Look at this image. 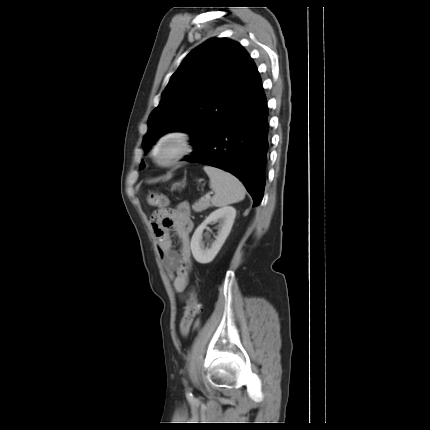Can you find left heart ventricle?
Masks as SVG:
<instances>
[{"instance_id":"left-heart-ventricle-1","label":"left heart ventricle","mask_w":430,"mask_h":430,"mask_svg":"<svg viewBox=\"0 0 430 430\" xmlns=\"http://www.w3.org/2000/svg\"><path fill=\"white\" fill-rule=\"evenodd\" d=\"M175 149H176V145L174 143L167 144L161 152V157L162 158L168 157L171 153L175 151Z\"/></svg>"}]
</instances>
